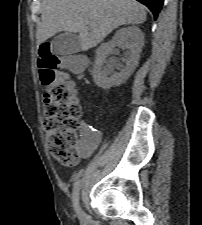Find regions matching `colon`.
Segmentation results:
<instances>
[{
	"label": "colon",
	"mask_w": 202,
	"mask_h": 225,
	"mask_svg": "<svg viewBox=\"0 0 202 225\" xmlns=\"http://www.w3.org/2000/svg\"><path fill=\"white\" fill-rule=\"evenodd\" d=\"M55 53V41L45 40L39 50L38 65L43 86V129L50 155L64 166H72L77 159L79 146L81 107L77 102V91L67 77L57 73L61 62ZM67 65L82 67L83 60L75 54L62 57Z\"/></svg>",
	"instance_id": "1"
}]
</instances>
